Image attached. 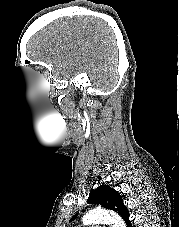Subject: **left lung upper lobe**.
I'll return each mask as SVG.
<instances>
[{
  "instance_id": "1",
  "label": "left lung upper lobe",
  "mask_w": 179,
  "mask_h": 227,
  "mask_svg": "<svg viewBox=\"0 0 179 227\" xmlns=\"http://www.w3.org/2000/svg\"><path fill=\"white\" fill-rule=\"evenodd\" d=\"M88 203L100 204L106 209L117 212L123 218L126 224L130 222V214L127 207L123 203L121 195L108 185H101L97 189L92 190L88 198ZM74 219L75 216L70 219V222H72Z\"/></svg>"
}]
</instances>
